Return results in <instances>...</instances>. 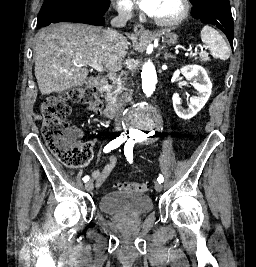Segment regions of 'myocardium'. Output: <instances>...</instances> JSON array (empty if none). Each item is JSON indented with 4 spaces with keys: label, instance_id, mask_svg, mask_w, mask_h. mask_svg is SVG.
Returning a JSON list of instances; mask_svg holds the SVG:
<instances>
[{
    "label": "myocardium",
    "instance_id": "obj_1",
    "mask_svg": "<svg viewBox=\"0 0 256 267\" xmlns=\"http://www.w3.org/2000/svg\"><path fill=\"white\" fill-rule=\"evenodd\" d=\"M171 4L174 5L178 9V15L175 19L169 23H164L162 26L166 27H174L181 23L188 15V7L181 0H171Z\"/></svg>",
    "mask_w": 256,
    "mask_h": 267
}]
</instances>
